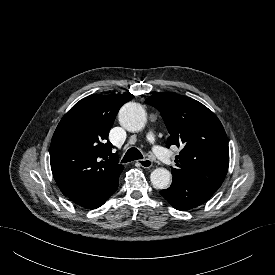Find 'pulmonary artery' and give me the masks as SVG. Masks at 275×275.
Masks as SVG:
<instances>
[{"label": "pulmonary artery", "instance_id": "pulmonary-artery-1", "mask_svg": "<svg viewBox=\"0 0 275 275\" xmlns=\"http://www.w3.org/2000/svg\"><path fill=\"white\" fill-rule=\"evenodd\" d=\"M147 140L154 145V153L159 159L165 162H168L170 160L169 153L160 145L155 144V135L152 131L148 133Z\"/></svg>", "mask_w": 275, "mask_h": 275}]
</instances>
